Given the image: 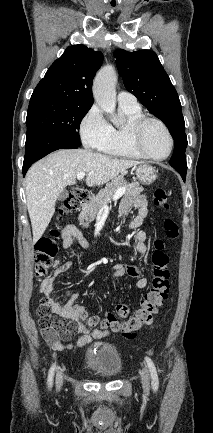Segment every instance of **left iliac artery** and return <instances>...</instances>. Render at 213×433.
<instances>
[{
	"instance_id": "left-iliac-artery-1",
	"label": "left iliac artery",
	"mask_w": 213,
	"mask_h": 433,
	"mask_svg": "<svg viewBox=\"0 0 213 433\" xmlns=\"http://www.w3.org/2000/svg\"><path fill=\"white\" fill-rule=\"evenodd\" d=\"M145 360H146V363L148 365V368H149V371L151 374L152 388L156 392L158 390V386H159V380H158V374L156 371V367H155L153 361L151 360V358L145 357Z\"/></svg>"
}]
</instances>
